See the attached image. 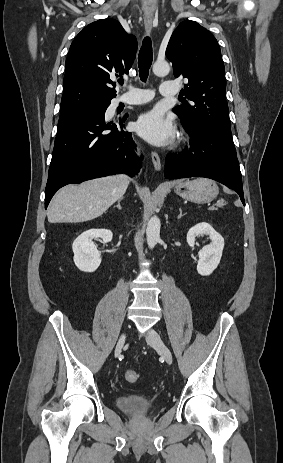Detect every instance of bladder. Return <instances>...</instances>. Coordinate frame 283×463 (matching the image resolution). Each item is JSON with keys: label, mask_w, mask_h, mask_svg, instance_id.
<instances>
[{"label": "bladder", "mask_w": 283, "mask_h": 463, "mask_svg": "<svg viewBox=\"0 0 283 463\" xmlns=\"http://www.w3.org/2000/svg\"><path fill=\"white\" fill-rule=\"evenodd\" d=\"M119 410L132 416H145L155 408V400L149 396L123 394L116 399Z\"/></svg>", "instance_id": "31cf9c89"}]
</instances>
